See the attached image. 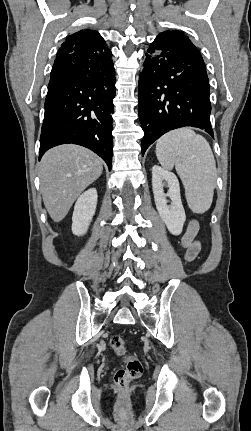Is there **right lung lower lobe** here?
Wrapping results in <instances>:
<instances>
[{
  "label": "right lung lower lobe",
  "instance_id": "right-lung-lower-lobe-1",
  "mask_svg": "<svg viewBox=\"0 0 251 431\" xmlns=\"http://www.w3.org/2000/svg\"><path fill=\"white\" fill-rule=\"evenodd\" d=\"M115 82L112 53L92 48L58 51L45 100L39 159L54 146L73 143L94 151L111 170Z\"/></svg>",
  "mask_w": 251,
  "mask_h": 431
}]
</instances>
